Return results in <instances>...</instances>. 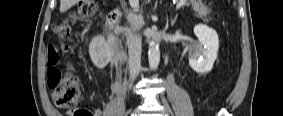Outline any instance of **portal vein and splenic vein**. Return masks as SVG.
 Listing matches in <instances>:
<instances>
[{"label": "portal vein and splenic vein", "instance_id": "18ae733b", "mask_svg": "<svg viewBox=\"0 0 283 116\" xmlns=\"http://www.w3.org/2000/svg\"><path fill=\"white\" fill-rule=\"evenodd\" d=\"M131 6L135 11L139 10V6H138V1L136 0H130ZM183 5V1H181L179 4H177L176 6V10L180 9Z\"/></svg>", "mask_w": 283, "mask_h": 116}]
</instances>
